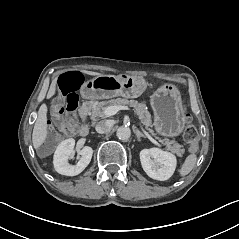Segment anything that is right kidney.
<instances>
[{
  "label": "right kidney",
  "mask_w": 239,
  "mask_h": 239,
  "mask_svg": "<svg viewBox=\"0 0 239 239\" xmlns=\"http://www.w3.org/2000/svg\"><path fill=\"white\" fill-rule=\"evenodd\" d=\"M75 140L73 138L62 141L56 148L53 164L55 170L62 175L75 176L80 174L90 163L93 150L89 146L83 147L79 152L81 158L76 165L68 163L69 157L74 153Z\"/></svg>",
  "instance_id": "obj_1"
}]
</instances>
